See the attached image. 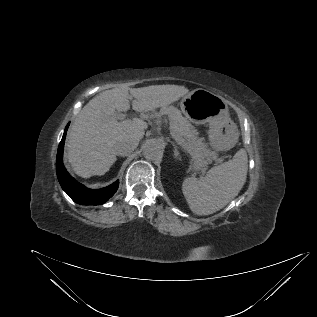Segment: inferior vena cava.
I'll return each mask as SVG.
<instances>
[{"label": "inferior vena cava", "mask_w": 317, "mask_h": 317, "mask_svg": "<svg viewBox=\"0 0 317 317\" xmlns=\"http://www.w3.org/2000/svg\"><path fill=\"white\" fill-rule=\"evenodd\" d=\"M138 146V142L136 140L124 141L119 143L116 147V154L118 156H126L132 151H134Z\"/></svg>", "instance_id": "1"}]
</instances>
